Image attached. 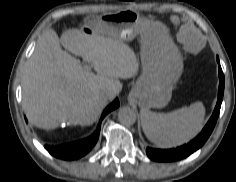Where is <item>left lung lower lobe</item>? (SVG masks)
Masks as SVG:
<instances>
[{"label":"left lung lower lobe","mask_w":236,"mask_h":182,"mask_svg":"<svg viewBox=\"0 0 236 182\" xmlns=\"http://www.w3.org/2000/svg\"><path fill=\"white\" fill-rule=\"evenodd\" d=\"M219 79L220 82H219L217 105L215 107L213 115L211 116L206 126L203 128L202 132L190 143L178 147L176 149L164 150V149H153L148 147L146 149V153L150 159L158 162H170V161L181 160L183 158L188 157L196 150H198L206 142V140L209 138L210 134L214 129V126L220 113L221 103L223 100L225 79L220 65H219Z\"/></svg>","instance_id":"0a47b994"}]
</instances>
